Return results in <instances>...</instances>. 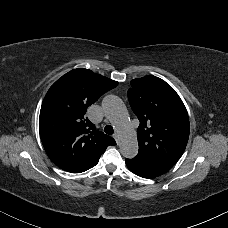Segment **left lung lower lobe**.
Here are the masks:
<instances>
[{
	"label": "left lung lower lobe",
	"mask_w": 228,
	"mask_h": 228,
	"mask_svg": "<svg viewBox=\"0 0 228 228\" xmlns=\"http://www.w3.org/2000/svg\"><path fill=\"white\" fill-rule=\"evenodd\" d=\"M127 167L136 175L143 178H154L169 171L171 167L152 162L140 157L126 159Z\"/></svg>",
	"instance_id": "obj_1"
}]
</instances>
